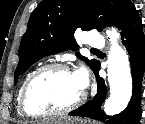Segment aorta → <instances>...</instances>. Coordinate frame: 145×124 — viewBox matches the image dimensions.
<instances>
[{
	"mask_svg": "<svg viewBox=\"0 0 145 124\" xmlns=\"http://www.w3.org/2000/svg\"><path fill=\"white\" fill-rule=\"evenodd\" d=\"M107 35L111 42L107 68L110 96L104 104V111L113 116L122 112L130 102L132 76L128 55L118 44L120 34L112 27L107 30Z\"/></svg>",
	"mask_w": 145,
	"mask_h": 124,
	"instance_id": "762f6f07",
	"label": "aorta"
}]
</instances>
